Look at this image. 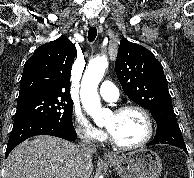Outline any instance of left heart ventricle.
<instances>
[{"mask_svg":"<svg viewBox=\"0 0 194 178\" xmlns=\"http://www.w3.org/2000/svg\"><path fill=\"white\" fill-rule=\"evenodd\" d=\"M106 127L123 144L138 143L147 133L145 118L134 110L122 114L112 113L106 120Z\"/></svg>","mask_w":194,"mask_h":178,"instance_id":"left-heart-ventricle-1","label":"left heart ventricle"}]
</instances>
